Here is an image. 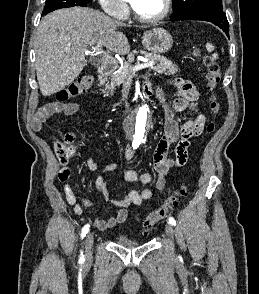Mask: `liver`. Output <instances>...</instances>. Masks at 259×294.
I'll list each match as a JSON object with an SVG mask.
<instances>
[{"mask_svg": "<svg viewBox=\"0 0 259 294\" xmlns=\"http://www.w3.org/2000/svg\"><path fill=\"white\" fill-rule=\"evenodd\" d=\"M123 23L84 7L56 10L40 23L35 34L36 74L40 92L50 96L69 86L87 64V46L106 47L126 55L128 39L116 31Z\"/></svg>", "mask_w": 259, "mask_h": 294, "instance_id": "obj_1", "label": "liver"}]
</instances>
